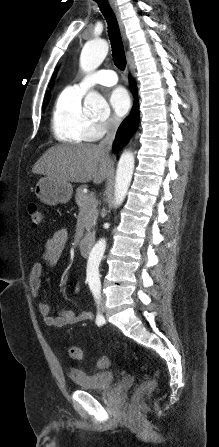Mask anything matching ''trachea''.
Returning <instances> with one entry per match:
<instances>
[{
    "label": "trachea",
    "mask_w": 219,
    "mask_h": 447,
    "mask_svg": "<svg viewBox=\"0 0 219 447\" xmlns=\"http://www.w3.org/2000/svg\"><path fill=\"white\" fill-rule=\"evenodd\" d=\"M108 23V35L111 42L112 57L115 66L124 70L126 66V56L120 34L117 18L111 9L108 0H95Z\"/></svg>",
    "instance_id": "1"
}]
</instances>
